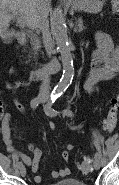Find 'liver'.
I'll list each match as a JSON object with an SVG mask.
<instances>
[{
    "instance_id": "6515ba94",
    "label": "liver",
    "mask_w": 119,
    "mask_h": 185,
    "mask_svg": "<svg viewBox=\"0 0 119 185\" xmlns=\"http://www.w3.org/2000/svg\"><path fill=\"white\" fill-rule=\"evenodd\" d=\"M44 16L49 14V0L41 5V0H0V32L6 30L10 21L16 14H21L23 20L30 28H37L40 11Z\"/></svg>"
}]
</instances>
